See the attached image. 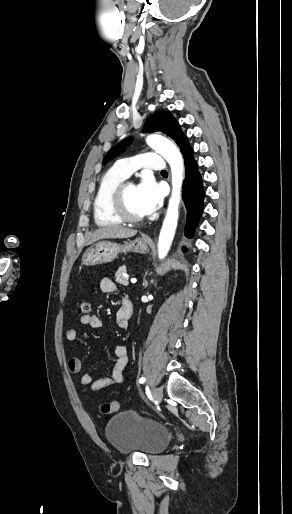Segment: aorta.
Wrapping results in <instances>:
<instances>
[{
	"label": "aorta",
	"mask_w": 292,
	"mask_h": 514,
	"mask_svg": "<svg viewBox=\"0 0 292 514\" xmlns=\"http://www.w3.org/2000/svg\"><path fill=\"white\" fill-rule=\"evenodd\" d=\"M146 144L152 150H156L157 154H160L168 162L172 174V196L169 200L166 218L163 222L158 242V254L162 260L170 250L177 228L178 206L183 182V160L175 144L167 140V138H163V136H148Z\"/></svg>",
	"instance_id": "aorta-1"
}]
</instances>
